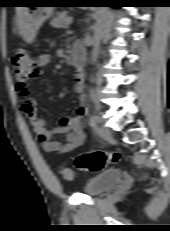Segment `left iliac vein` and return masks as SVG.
<instances>
[{
	"instance_id": "left-iliac-vein-1",
	"label": "left iliac vein",
	"mask_w": 170,
	"mask_h": 231,
	"mask_svg": "<svg viewBox=\"0 0 170 231\" xmlns=\"http://www.w3.org/2000/svg\"><path fill=\"white\" fill-rule=\"evenodd\" d=\"M97 132H98L99 136L102 137L105 140L111 138V131H110V129L108 127L99 126L97 128Z\"/></svg>"
}]
</instances>
